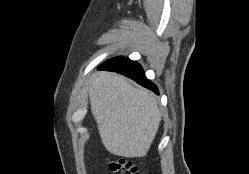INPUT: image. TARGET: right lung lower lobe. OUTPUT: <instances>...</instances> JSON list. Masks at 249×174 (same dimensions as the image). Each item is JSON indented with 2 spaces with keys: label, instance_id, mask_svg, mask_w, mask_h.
I'll return each instance as SVG.
<instances>
[{
  "label": "right lung lower lobe",
  "instance_id": "right-lung-lower-lobe-1",
  "mask_svg": "<svg viewBox=\"0 0 249 174\" xmlns=\"http://www.w3.org/2000/svg\"><path fill=\"white\" fill-rule=\"evenodd\" d=\"M99 69L123 74L158 94L157 87L146 79L142 67L136 61L123 57L119 61L106 62Z\"/></svg>",
  "mask_w": 249,
  "mask_h": 174
}]
</instances>
